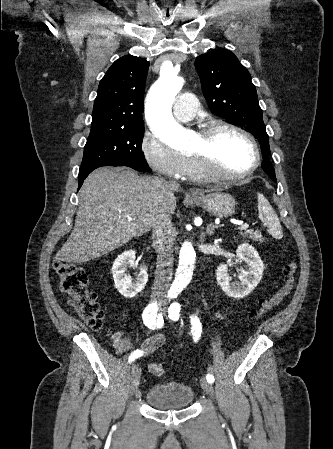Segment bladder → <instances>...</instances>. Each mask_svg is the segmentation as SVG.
I'll return each mask as SVG.
<instances>
[{
    "mask_svg": "<svg viewBox=\"0 0 333 449\" xmlns=\"http://www.w3.org/2000/svg\"><path fill=\"white\" fill-rule=\"evenodd\" d=\"M193 400V389L180 382L154 384L146 393L147 403L160 410L186 408L193 403Z\"/></svg>",
    "mask_w": 333,
    "mask_h": 449,
    "instance_id": "1",
    "label": "bladder"
}]
</instances>
